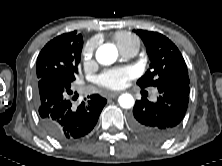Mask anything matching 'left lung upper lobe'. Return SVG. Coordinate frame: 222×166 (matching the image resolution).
Instances as JSON below:
<instances>
[{
	"label": "left lung upper lobe",
	"instance_id": "1",
	"mask_svg": "<svg viewBox=\"0 0 222 166\" xmlns=\"http://www.w3.org/2000/svg\"><path fill=\"white\" fill-rule=\"evenodd\" d=\"M147 47L150 69L137 81L141 88L157 87L166 81L189 83L186 63L175 44L164 35L146 30H137Z\"/></svg>",
	"mask_w": 222,
	"mask_h": 166
}]
</instances>
